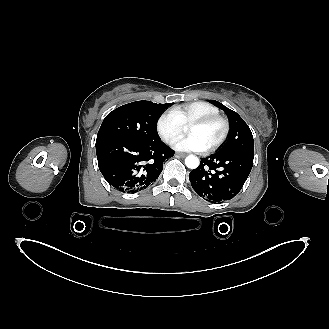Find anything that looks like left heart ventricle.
I'll return each instance as SVG.
<instances>
[{
  "mask_svg": "<svg viewBox=\"0 0 329 329\" xmlns=\"http://www.w3.org/2000/svg\"><path fill=\"white\" fill-rule=\"evenodd\" d=\"M222 130L220 122H212L202 126L189 127L187 131L189 134L197 136L207 149L220 138Z\"/></svg>",
  "mask_w": 329,
  "mask_h": 329,
  "instance_id": "obj_1",
  "label": "left heart ventricle"
}]
</instances>
